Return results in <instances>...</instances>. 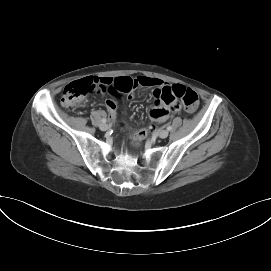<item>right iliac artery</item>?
I'll return each mask as SVG.
<instances>
[{
    "mask_svg": "<svg viewBox=\"0 0 271 271\" xmlns=\"http://www.w3.org/2000/svg\"><path fill=\"white\" fill-rule=\"evenodd\" d=\"M107 120L105 118L102 119V123H106Z\"/></svg>",
    "mask_w": 271,
    "mask_h": 271,
    "instance_id": "82829eb1",
    "label": "right iliac artery"
}]
</instances>
